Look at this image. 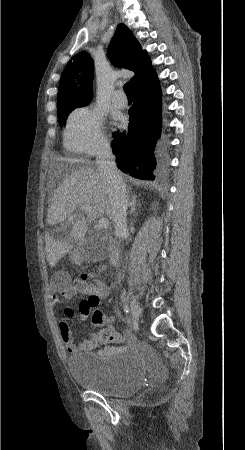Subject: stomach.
I'll return each instance as SVG.
<instances>
[{"instance_id": "0dacf381", "label": "stomach", "mask_w": 245, "mask_h": 450, "mask_svg": "<svg viewBox=\"0 0 245 450\" xmlns=\"http://www.w3.org/2000/svg\"><path fill=\"white\" fill-rule=\"evenodd\" d=\"M70 258L75 262H80L82 260L80 253L76 250L70 254Z\"/></svg>"}]
</instances>
